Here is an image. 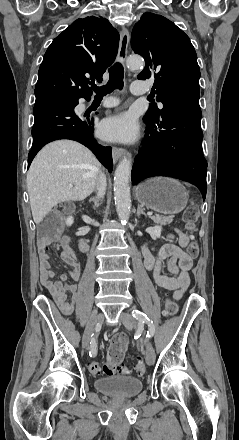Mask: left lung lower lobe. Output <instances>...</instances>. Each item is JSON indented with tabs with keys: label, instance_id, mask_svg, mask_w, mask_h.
<instances>
[{
	"label": "left lung lower lobe",
	"instance_id": "left-lung-lower-lobe-1",
	"mask_svg": "<svg viewBox=\"0 0 239 440\" xmlns=\"http://www.w3.org/2000/svg\"><path fill=\"white\" fill-rule=\"evenodd\" d=\"M147 124L145 145L135 158L132 182L153 176H169L190 182L206 197L207 162L199 103L181 101L165 108L158 121Z\"/></svg>",
	"mask_w": 239,
	"mask_h": 440
}]
</instances>
